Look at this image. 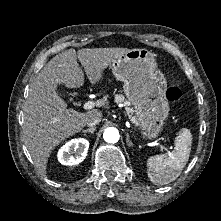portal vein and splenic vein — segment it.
Masks as SVG:
<instances>
[{"label":"portal vein and splenic vein","instance_id":"portal-vein-and-splenic-vein-1","mask_svg":"<svg viewBox=\"0 0 221 221\" xmlns=\"http://www.w3.org/2000/svg\"><path fill=\"white\" fill-rule=\"evenodd\" d=\"M95 105H96V103L94 101H87L86 103L83 104V109L90 110V109H93L95 107ZM155 143L157 145H159L162 149L167 150V148L162 143H160L158 140H156Z\"/></svg>","mask_w":221,"mask_h":221}]
</instances>
